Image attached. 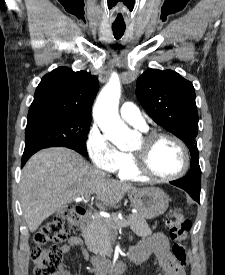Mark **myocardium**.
<instances>
[{
	"label": "myocardium",
	"mask_w": 225,
	"mask_h": 275,
	"mask_svg": "<svg viewBox=\"0 0 225 275\" xmlns=\"http://www.w3.org/2000/svg\"><path fill=\"white\" fill-rule=\"evenodd\" d=\"M145 144V148L141 151H133L134 167L135 170L146 179L153 181H172L182 177L189 169L190 166V155L186 144L177 136L164 133V132H149L144 134L142 137ZM161 139H168L176 143L183 154V165L180 170L172 175H157L149 167L148 164V152L149 148L152 147L157 141Z\"/></svg>",
	"instance_id": "obj_1"
}]
</instances>
